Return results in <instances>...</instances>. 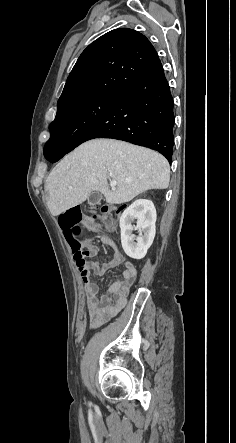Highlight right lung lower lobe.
<instances>
[{
    "instance_id": "right-lung-lower-lobe-1",
    "label": "right lung lower lobe",
    "mask_w": 236,
    "mask_h": 443,
    "mask_svg": "<svg viewBox=\"0 0 236 443\" xmlns=\"http://www.w3.org/2000/svg\"><path fill=\"white\" fill-rule=\"evenodd\" d=\"M173 105L170 87L158 59L146 73L86 122L66 148H45L44 156L54 163L81 143L103 137L154 149L171 163Z\"/></svg>"
}]
</instances>
